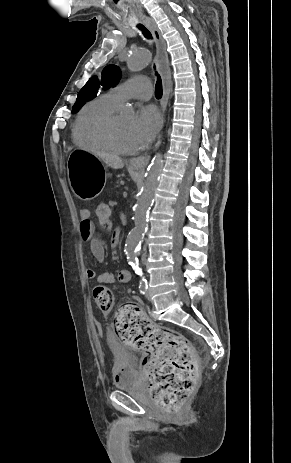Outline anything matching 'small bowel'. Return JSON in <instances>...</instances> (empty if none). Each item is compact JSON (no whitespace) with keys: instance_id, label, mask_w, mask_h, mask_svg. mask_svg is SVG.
Here are the masks:
<instances>
[{"instance_id":"c3829d8e","label":"small bowel","mask_w":291,"mask_h":463,"mask_svg":"<svg viewBox=\"0 0 291 463\" xmlns=\"http://www.w3.org/2000/svg\"><path fill=\"white\" fill-rule=\"evenodd\" d=\"M91 213L90 210L87 208H83L79 211V236L82 241H88L89 242V248L90 252L93 255V257L99 261L102 262L105 258V247L103 242L101 241L100 238L95 236L94 234V224L91 220ZM105 229H111L112 228V223L110 226H102ZM112 232V239H111V244L113 246H118L120 244V237L121 234L120 229L117 226H114L111 229ZM85 277L88 280H95L98 283H103V284H113L116 281L120 283H128L131 279L130 272L127 270H121L117 277L110 272V271H105L100 274H97L95 270L93 269H87L85 271ZM115 378V375H114Z\"/></svg>"}]
</instances>
